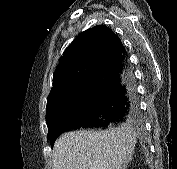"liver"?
<instances>
[{
  "instance_id": "liver-1",
  "label": "liver",
  "mask_w": 177,
  "mask_h": 169,
  "mask_svg": "<svg viewBox=\"0 0 177 169\" xmlns=\"http://www.w3.org/2000/svg\"><path fill=\"white\" fill-rule=\"evenodd\" d=\"M135 144L130 127L68 132L55 142L52 169H125Z\"/></svg>"
}]
</instances>
